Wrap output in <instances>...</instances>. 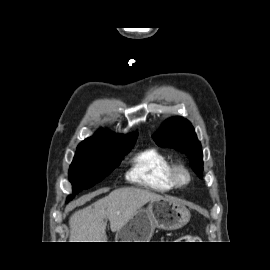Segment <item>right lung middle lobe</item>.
Here are the masks:
<instances>
[{"instance_id": "dd1d6c3e", "label": "right lung middle lobe", "mask_w": 270, "mask_h": 270, "mask_svg": "<svg viewBox=\"0 0 270 270\" xmlns=\"http://www.w3.org/2000/svg\"><path fill=\"white\" fill-rule=\"evenodd\" d=\"M135 141L102 147L77 148L69 169V179L73 185L72 198L79 191L92 187L105 178L120 164V159L129 152Z\"/></svg>"}]
</instances>
